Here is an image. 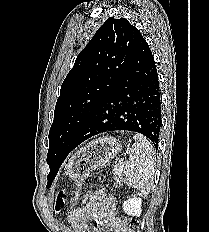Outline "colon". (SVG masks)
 Wrapping results in <instances>:
<instances>
[{"mask_svg": "<svg viewBox=\"0 0 209 232\" xmlns=\"http://www.w3.org/2000/svg\"><path fill=\"white\" fill-rule=\"evenodd\" d=\"M76 193H73L72 194V201H75L76 200ZM64 205V198H63V193L60 192L57 196V200H56V203H55V209L56 211H60L62 209ZM128 229H129V232H139L137 229H138V221L134 218H129V219H126L125 221Z\"/></svg>", "mask_w": 209, "mask_h": 232, "instance_id": "obj_1", "label": "colon"}]
</instances>
